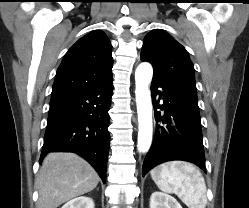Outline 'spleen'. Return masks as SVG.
I'll use <instances>...</instances> for the list:
<instances>
[{"mask_svg": "<svg viewBox=\"0 0 249 208\" xmlns=\"http://www.w3.org/2000/svg\"><path fill=\"white\" fill-rule=\"evenodd\" d=\"M151 177L160 190L176 194L189 208H205L206 184L193 164L167 162L154 168Z\"/></svg>", "mask_w": 249, "mask_h": 208, "instance_id": "3e777b00", "label": "spleen"}]
</instances>
